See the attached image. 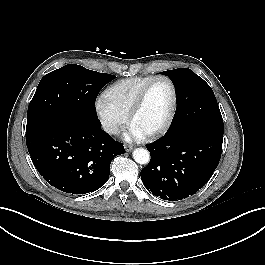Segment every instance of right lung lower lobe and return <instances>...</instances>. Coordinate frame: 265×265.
<instances>
[{
    "instance_id": "1",
    "label": "right lung lower lobe",
    "mask_w": 265,
    "mask_h": 265,
    "mask_svg": "<svg viewBox=\"0 0 265 265\" xmlns=\"http://www.w3.org/2000/svg\"><path fill=\"white\" fill-rule=\"evenodd\" d=\"M32 162L40 175L55 188L70 194H85L108 180L112 159L124 153L100 127L98 119L75 116L26 134Z\"/></svg>"
}]
</instances>
